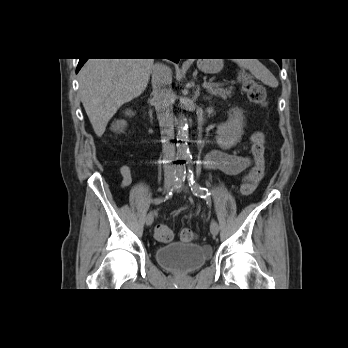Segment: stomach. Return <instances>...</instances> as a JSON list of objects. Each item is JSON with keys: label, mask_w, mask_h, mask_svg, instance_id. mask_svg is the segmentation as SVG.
<instances>
[{"label": "stomach", "mask_w": 348, "mask_h": 348, "mask_svg": "<svg viewBox=\"0 0 348 348\" xmlns=\"http://www.w3.org/2000/svg\"><path fill=\"white\" fill-rule=\"evenodd\" d=\"M198 68L204 72L209 74H214L219 72L223 67L222 59H199L198 60Z\"/></svg>", "instance_id": "0dacf381"}]
</instances>
